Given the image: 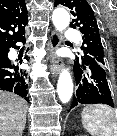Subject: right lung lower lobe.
<instances>
[{
  "label": "right lung lower lobe",
  "mask_w": 117,
  "mask_h": 136,
  "mask_svg": "<svg viewBox=\"0 0 117 136\" xmlns=\"http://www.w3.org/2000/svg\"><path fill=\"white\" fill-rule=\"evenodd\" d=\"M24 41L25 39L22 36V38L16 41L11 47L17 49L18 46L15 44ZM8 52L9 49L5 53L0 54V90L14 92L26 101H29L27 91L28 78L26 73L19 67L22 63V59L12 62L8 58Z\"/></svg>",
  "instance_id": "98d812e1"
}]
</instances>
